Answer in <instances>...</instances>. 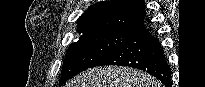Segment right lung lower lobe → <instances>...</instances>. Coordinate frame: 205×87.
<instances>
[{"mask_svg":"<svg viewBox=\"0 0 205 87\" xmlns=\"http://www.w3.org/2000/svg\"><path fill=\"white\" fill-rule=\"evenodd\" d=\"M103 65L129 66L148 72L166 87L171 85V69L160 42L144 27L102 57L91 67Z\"/></svg>","mask_w":205,"mask_h":87,"instance_id":"right-lung-lower-lobe-1","label":"right lung lower lobe"}]
</instances>
